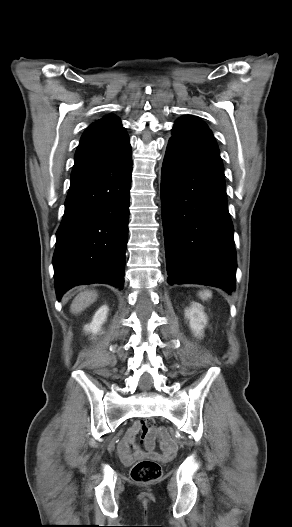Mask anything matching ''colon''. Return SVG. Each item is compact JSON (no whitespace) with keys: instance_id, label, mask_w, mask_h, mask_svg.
<instances>
[{"instance_id":"obj_1","label":"colon","mask_w":292,"mask_h":527,"mask_svg":"<svg viewBox=\"0 0 292 527\" xmlns=\"http://www.w3.org/2000/svg\"><path fill=\"white\" fill-rule=\"evenodd\" d=\"M143 429L153 430L155 423L152 420L141 422ZM167 433L166 431L163 433ZM162 475L161 466L153 464L151 459L138 461L131 469V478L139 483H151L157 481Z\"/></svg>"}]
</instances>
